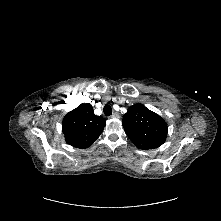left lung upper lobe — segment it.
I'll use <instances>...</instances> for the list:
<instances>
[{"instance_id":"5c2ea615","label":"left lung upper lobe","mask_w":221,"mask_h":221,"mask_svg":"<svg viewBox=\"0 0 221 221\" xmlns=\"http://www.w3.org/2000/svg\"><path fill=\"white\" fill-rule=\"evenodd\" d=\"M122 125L129 139L142 150L161 146L167 137L165 120L142 104L129 107Z\"/></svg>"}]
</instances>
